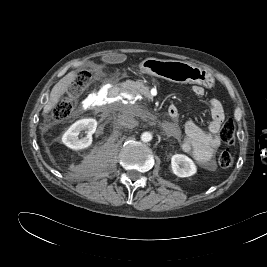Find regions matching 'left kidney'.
<instances>
[{
	"label": "left kidney",
	"instance_id": "obj_1",
	"mask_svg": "<svg viewBox=\"0 0 267 267\" xmlns=\"http://www.w3.org/2000/svg\"><path fill=\"white\" fill-rule=\"evenodd\" d=\"M172 172L178 177H189L197 172L192 159L184 154H175L171 158Z\"/></svg>",
	"mask_w": 267,
	"mask_h": 267
}]
</instances>
